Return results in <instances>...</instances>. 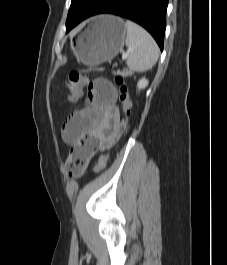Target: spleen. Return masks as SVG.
Wrapping results in <instances>:
<instances>
[{
    "instance_id": "3e777b00",
    "label": "spleen",
    "mask_w": 227,
    "mask_h": 265,
    "mask_svg": "<svg viewBox=\"0 0 227 265\" xmlns=\"http://www.w3.org/2000/svg\"><path fill=\"white\" fill-rule=\"evenodd\" d=\"M125 44L131 54L127 66L137 72L151 69L159 58V47L153 37L141 26L127 20Z\"/></svg>"
}]
</instances>
